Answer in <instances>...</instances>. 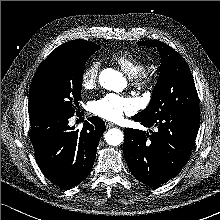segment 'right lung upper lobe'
I'll return each instance as SVG.
<instances>
[{"mask_svg":"<svg viewBox=\"0 0 220 220\" xmlns=\"http://www.w3.org/2000/svg\"><path fill=\"white\" fill-rule=\"evenodd\" d=\"M81 42H91V41L75 40V41L67 42V43H65V44H63V45H61V46H59L58 48H56V50H57V49H60V48H63V47H65V46H67V45H71V44H75V43H81Z\"/></svg>","mask_w":220,"mask_h":220,"instance_id":"right-lung-upper-lobe-1","label":"right lung upper lobe"}]
</instances>
